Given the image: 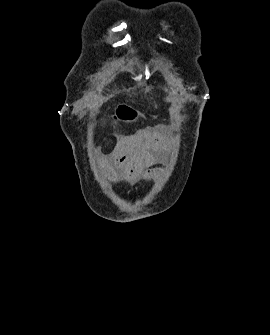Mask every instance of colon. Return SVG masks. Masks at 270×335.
I'll return each instance as SVG.
<instances>
[{
    "label": "colon",
    "mask_w": 270,
    "mask_h": 335,
    "mask_svg": "<svg viewBox=\"0 0 270 335\" xmlns=\"http://www.w3.org/2000/svg\"><path fill=\"white\" fill-rule=\"evenodd\" d=\"M118 116L119 117H127V122L128 123H133L134 122V117L138 116V111L137 110H119L118 111Z\"/></svg>",
    "instance_id": "5ec220e1"
}]
</instances>
